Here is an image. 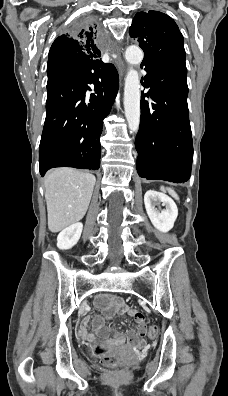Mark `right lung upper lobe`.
Listing matches in <instances>:
<instances>
[{
  "label": "right lung upper lobe",
  "mask_w": 228,
  "mask_h": 396,
  "mask_svg": "<svg viewBox=\"0 0 228 396\" xmlns=\"http://www.w3.org/2000/svg\"><path fill=\"white\" fill-rule=\"evenodd\" d=\"M96 33V27L91 26L56 38L49 51L47 71L65 70L73 61L99 60Z\"/></svg>",
  "instance_id": "1"
}]
</instances>
